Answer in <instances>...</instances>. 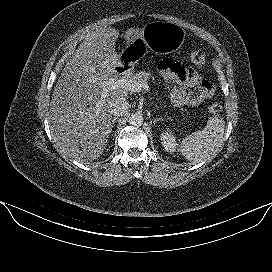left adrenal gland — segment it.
I'll use <instances>...</instances> for the list:
<instances>
[{"label": "left adrenal gland", "mask_w": 272, "mask_h": 272, "mask_svg": "<svg viewBox=\"0 0 272 272\" xmlns=\"http://www.w3.org/2000/svg\"><path fill=\"white\" fill-rule=\"evenodd\" d=\"M157 121H163V119L162 118H156V119H154L153 123L155 124Z\"/></svg>", "instance_id": "left-adrenal-gland-1"}]
</instances>
